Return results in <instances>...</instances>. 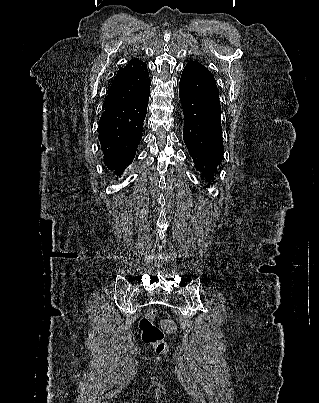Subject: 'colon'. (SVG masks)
Masks as SVG:
<instances>
[{"label": "colon", "instance_id": "obj_1", "mask_svg": "<svg viewBox=\"0 0 319 403\" xmlns=\"http://www.w3.org/2000/svg\"><path fill=\"white\" fill-rule=\"evenodd\" d=\"M157 311L150 309L139 322L142 341L151 345L157 354H165L168 351V345L164 340V332L155 324Z\"/></svg>", "mask_w": 319, "mask_h": 403}]
</instances>
